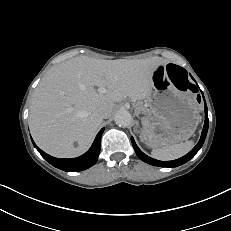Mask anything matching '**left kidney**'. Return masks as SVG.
<instances>
[{"label": "left kidney", "instance_id": "obj_1", "mask_svg": "<svg viewBox=\"0 0 231 231\" xmlns=\"http://www.w3.org/2000/svg\"><path fill=\"white\" fill-rule=\"evenodd\" d=\"M140 140L143 142V137L142 136H140Z\"/></svg>", "mask_w": 231, "mask_h": 231}]
</instances>
